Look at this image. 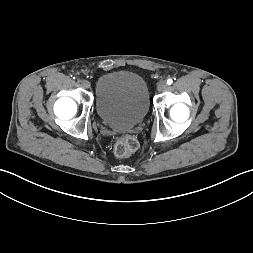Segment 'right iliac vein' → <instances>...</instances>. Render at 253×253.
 Masks as SVG:
<instances>
[{
    "label": "right iliac vein",
    "mask_w": 253,
    "mask_h": 253,
    "mask_svg": "<svg viewBox=\"0 0 253 253\" xmlns=\"http://www.w3.org/2000/svg\"><path fill=\"white\" fill-rule=\"evenodd\" d=\"M90 86H91V84H90V82H89V81L84 80V81L82 82V87H83V88H85V89H89V88H90Z\"/></svg>",
    "instance_id": "right-iliac-vein-1"
}]
</instances>
